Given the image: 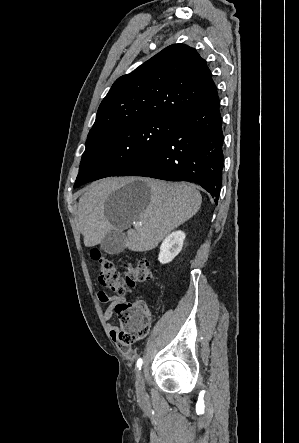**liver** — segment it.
I'll return each instance as SVG.
<instances>
[{"label":"liver","mask_w":299,"mask_h":443,"mask_svg":"<svg viewBox=\"0 0 299 443\" xmlns=\"http://www.w3.org/2000/svg\"><path fill=\"white\" fill-rule=\"evenodd\" d=\"M202 197L194 185L151 178L113 177L83 190L78 219L84 245L93 247L112 231L127 230L125 247L135 252L155 248L173 229L192 218ZM134 221L141 223L131 229Z\"/></svg>","instance_id":"1"}]
</instances>
